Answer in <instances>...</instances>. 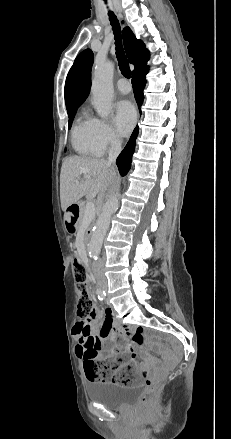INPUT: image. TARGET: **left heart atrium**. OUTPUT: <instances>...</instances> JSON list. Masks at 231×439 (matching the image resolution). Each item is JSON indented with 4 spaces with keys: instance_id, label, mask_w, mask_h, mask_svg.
I'll return each mask as SVG.
<instances>
[{
    "instance_id": "1",
    "label": "left heart atrium",
    "mask_w": 231,
    "mask_h": 439,
    "mask_svg": "<svg viewBox=\"0 0 231 439\" xmlns=\"http://www.w3.org/2000/svg\"><path fill=\"white\" fill-rule=\"evenodd\" d=\"M136 122L134 106L127 100H121L114 106V123L123 136L128 135Z\"/></svg>"
}]
</instances>
